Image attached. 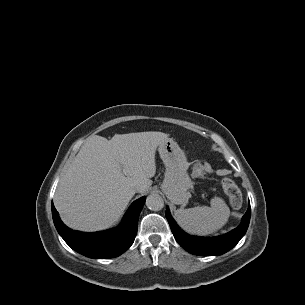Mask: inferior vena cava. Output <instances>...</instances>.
Wrapping results in <instances>:
<instances>
[{"mask_svg": "<svg viewBox=\"0 0 305 305\" xmlns=\"http://www.w3.org/2000/svg\"><path fill=\"white\" fill-rule=\"evenodd\" d=\"M133 190H134L135 192L139 191V190H140V186H138V185L134 186V187H133Z\"/></svg>", "mask_w": 305, "mask_h": 305, "instance_id": "inferior-vena-cava-1", "label": "inferior vena cava"}]
</instances>
